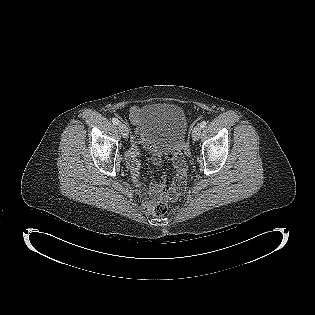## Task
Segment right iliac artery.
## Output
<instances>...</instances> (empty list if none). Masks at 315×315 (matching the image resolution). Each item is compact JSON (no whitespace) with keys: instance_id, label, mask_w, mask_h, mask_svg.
Listing matches in <instances>:
<instances>
[{"instance_id":"82829eb1","label":"right iliac artery","mask_w":315,"mask_h":315,"mask_svg":"<svg viewBox=\"0 0 315 315\" xmlns=\"http://www.w3.org/2000/svg\"><path fill=\"white\" fill-rule=\"evenodd\" d=\"M112 122H113L114 125H118V124H119V121H118V119H116V118H113V119H112Z\"/></svg>"}]
</instances>
